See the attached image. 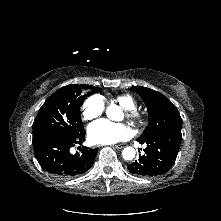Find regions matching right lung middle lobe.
<instances>
[{
    "label": "right lung middle lobe",
    "mask_w": 221,
    "mask_h": 221,
    "mask_svg": "<svg viewBox=\"0 0 221 221\" xmlns=\"http://www.w3.org/2000/svg\"><path fill=\"white\" fill-rule=\"evenodd\" d=\"M85 89H92V93L101 92L94 86L70 84L47 99L33 123V144L52 136L75 137L85 131L80 107L91 94H84Z\"/></svg>",
    "instance_id": "1"
}]
</instances>
